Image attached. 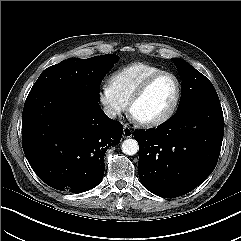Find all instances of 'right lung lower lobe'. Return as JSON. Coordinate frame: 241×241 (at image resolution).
Listing matches in <instances>:
<instances>
[{"mask_svg":"<svg viewBox=\"0 0 241 241\" xmlns=\"http://www.w3.org/2000/svg\"><path fill=\"white\" fill-rule=\"evenodd\" d=\"M123 126L78 90L63 85L31 91L22 112V146L48 186L80 193L103 178L104 155L117 145Z\"/></svg>","mask_w":241,"mask_h":241,"instance_id":"1","label":"right lung lower lobe"}]
</instances>
